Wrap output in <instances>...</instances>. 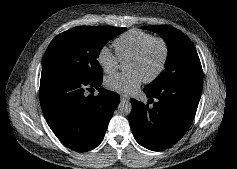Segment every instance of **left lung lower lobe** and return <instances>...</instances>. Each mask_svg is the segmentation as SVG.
I'll use <instances>...</instances> for the list:
<instances>
[{"mask_svg":"<svg viewBox=\"0 0 237 169\" xmlns=\"http://www.w3.org/2000/svg\"><path fill=\"white\" fill-rule=\"evenodd\" d=\"M203 79L178 81L155 89L144 88L149 107L131 99V130L143 147L161 151L179 141L190 127L201 96Z\"/></svg>","mask_w":237,"mask_h":169,"instance_id":"obj_1","label":"left lung lower lobe"}]
</instances>
